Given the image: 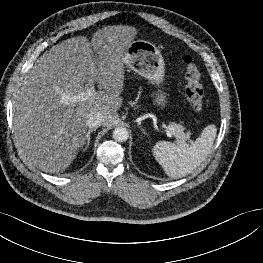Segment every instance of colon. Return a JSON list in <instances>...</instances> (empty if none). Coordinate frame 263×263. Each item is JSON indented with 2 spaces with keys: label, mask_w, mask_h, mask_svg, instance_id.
Here are the masks:
<instances>
[{
  "label": "colon",
  "mask_w": 263,
  "mask_h": 263,
  "mask_svg": "<svg viewBox=\"0 0 263 263\" xmlns=\"http://www.w3.org/2000/svg\"><path fill=\"white\" fill-rule=\"evenodd\" d=\"M183 64L186 79L185 97L196 112H201L204 106V90L200 70L190 55L183 58Z\"/></svg>",
  "instance_id": "obj_1"
}]
</instances>
